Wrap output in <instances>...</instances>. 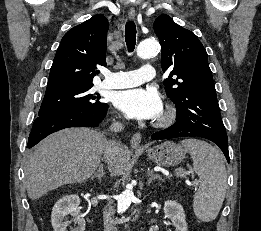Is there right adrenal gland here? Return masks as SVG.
<instances>
[{
    "instance_id": "right-adrenal-gland-1",
    "label": "right adrenal gland",
    "mask_w": 261,
    "mask_h": 231,
    "mask_svg": "<svg viewBox=\"0 0 261 231\" xmlns=\"http://www.w3.org/2000/svg\"><path fill=\"white\" fill-rule=\"evenodd\" d=\"M104 177V169H103V164L101 163L99 165L98 170L92 175V179L97 178L100 182L102 178Z\"/></svg>"
}]
</instances>
